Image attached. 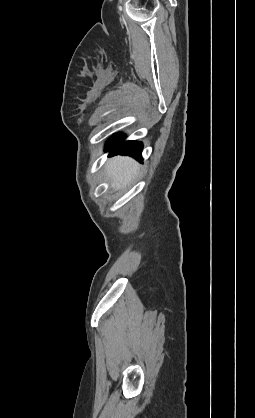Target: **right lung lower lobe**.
<instances>
[{
    "label": "right lung lower lobe",
    "mask_w": 255,
    "mask_h": 418,
    "mask_svg": "<svg viewBox=\"0 0 255 418\" xmlns=\"http://www.w3.org/2000/svg\"><path fill=\"white\" fill-rule=\"evenodd\" d=\"M124 139L125 136L123 134L113 136L106 146V151H110V156L117 154L129 155L142 161V143L137 141H124Z\"/></svg>",
    "instance_id": "98d812e1"
}]
</instances>
